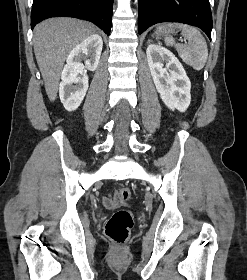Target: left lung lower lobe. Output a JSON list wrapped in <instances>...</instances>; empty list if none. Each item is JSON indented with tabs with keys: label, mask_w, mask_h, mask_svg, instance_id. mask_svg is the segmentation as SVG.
I'll use <instances>...</instances> for the list:
<instances>
[{
	"label": "left lung lower lobe",
	"mask_w": 247,
	"mask_h": 280,
	"mask_svg": "<svg viewBox=\"0 0 247 280\" xmlns=\"http://www.w3.org/2000/svg\"><path fill=\"white\" fill-rule=\"evenodd\" d=\"M160 22H181L202 29L211 39L209 0H138V33Z\"/></svg>",
	"instance_id": "0a47b994"
}]
</instances>
